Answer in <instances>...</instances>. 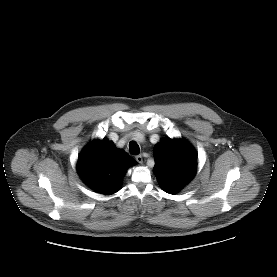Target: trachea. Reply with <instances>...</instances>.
I'll return each mask as SVG.
<instances>
[{"instance_id": "1", "label": "trachea", "mask_w": 277, "mask_h": 277, "mask_svg": "<svg viewBox=\"0 0 277 277\" xmlns=\"http://www.w3.org/2000/svg\"><path fill=\"white\" fill-rule=\"evenodd\" d=\"M129 151L133 155H137L140 153L139 145L135 141H131L129 143Z\"/></svg>"}]
</instances>
